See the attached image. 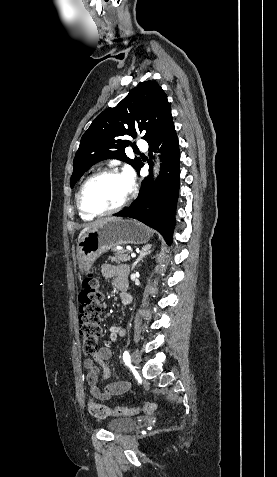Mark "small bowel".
I'll return each instance as SVG.
<instances>
[{
  "label": "small bowel",
  "mask_w": 277,
  "mask_h": 477,
  "mask_svg": "<svg viewBox=\"0 0 277 477\" xmlns=\"http://www.w3.org/2000/svg\"><path fill=\"white\" fill-rule=\"evenodd\" d=\"M101 272L104 278L113 279V285L120 291L121 299L124 295H127V277L129 274V267L127 265L105 263L101 266ZM124 335L125 330L122 327H111L110 339L113 342L117 341L118 337ZM111 357V349L109 347H101L92 354L91 358H86L83 362V366L87 370L86 381L89 391L93 397L100 400H106L113 396L123 394L130 387L127 381L114 380L108 383L104 389L100 388L99 376L101 375L103 379H108L113 375V372L105 365L101 370L98 364H104V362L110 360Z\"/></svg>",
  "instance_id": "c3829d8e"
}]
</instances>
